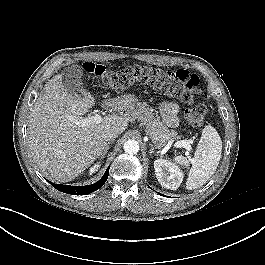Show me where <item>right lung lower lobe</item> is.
<instances>
[{"mask_svg":"<svg viewBox=\"0 0 265 265\" xmlns=\"http://www.w3.org/2000/svg\"><path fill=\"white\" fill-rule=\"evenodd\" d=\"M110 168V167H109ZM109 168L106 170L103 177L96 183L87 186H70V185H61V184H53V186L64 193L72 194V195H86L98 190L103 184L106 182L109 176ZM49 182V181H48ZM52 184L51 182H49Z\"/></svg>","mask_w":265,"mask_h":265,"instance_id":"1","label":"right lung lower lobe"}]
</instances>
